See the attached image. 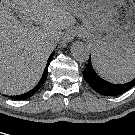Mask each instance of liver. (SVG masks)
<instances>
[{
  "label": "liver",
  "mask_w": 135,
  "mask_h": 135,
  "mask_svg": "<svg viewBox=\"0 0 135 135\" xmlns=\"http://www.w3.org/2000/svg\"><path fill=\"white\" fill-rule=\"evenodd\" d=\"M75 17L58 0H0V92L31 90L62 30L72 27Z\"/></svg>",
  "instance_id": "1"
}]
</instances>
